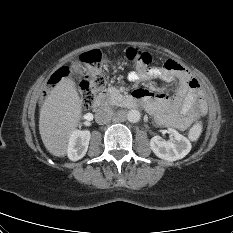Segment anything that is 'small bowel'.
<instances>
[{
	"label": "small bowel",
	"instance_id": "obj_1",
	"mask_svg": "<svg viewBox=\"0 0 233 233\" xmlns=\"http://www.w3.org/2000/svg\"><path fill=\"white\" fill-rule=\"evenodd\" d=\"M162 79L177 81L178 89L174 96L154 93L147 89H138L134 96L164 126L186 130L204 115L206 106L203 93L197 79L178 61L169 59L159 67L138 69L129 74L132 81Z\"/></svg>",
	"mask_w": 233,
	"mask_h": 233
}]
</instances>
